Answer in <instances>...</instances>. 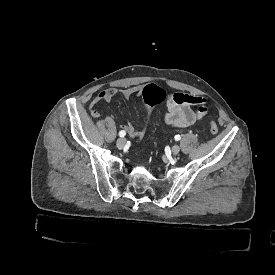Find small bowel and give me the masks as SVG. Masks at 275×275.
Returning <instances> with one entry per match:
<instances>
[{
  "label": "small bowel",
  "mask_w": 275,
  "mask_h": 275,
  "mask_svg": "<svg viewBox=\"0 0 275 275\" xmlns=\"http://www.w3.org/2000/svg\"><path fill=\"white\" fill-rule=\"evenodd\" d=\"M143 87L141 85L131 86L122 90L109 88L101 91L89 105V111L92 118H98L100 115L99 105L103 101H111L115 97L129 99L132 96H140ZM167 114L164 121L166 125L173 128H186L200 122L207 114L208 108L206 100L202 97L190 95L182 92H176L166 100ZM194 107L196 109L194 110ZM122 128L132 136L135 127L131 123H124Z\"/></svg>",
  "instance_id": "obj_1"
}]
</instances>
